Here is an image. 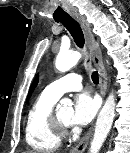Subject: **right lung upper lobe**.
<instances>
[{
  "instance_id": "1",
  "label": "right lung upper lobe",
  "mask_w": 130,
  "mask_h": 153,
  "mask_svg": "<svg viewBox=\"0 0 130 153\" xmlns=\"http://www.w3.org/2000/svg\"><path fill=\"white\" fill-rule=\"evenodd\" d=\"M37 82H38V77L33 81L32 83V86H31V89H30V94L32 93V91L34 90V88L36 87L37 85ZM30 96V95H29ZM28 96V98H29Z\"/></svg>"
}]
</instances>
